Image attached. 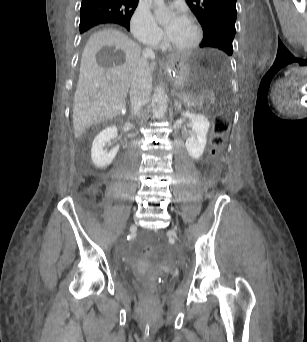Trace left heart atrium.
<instances>
[{
	"mask_svg": "<svg viewBox=\"0 0 307 342\" xmlns=\"http://www.w3.org/2000/svg\"><path fill=\"white\" fill-rule=\"evenodd\" d=\"M186 21L181 16H174L173 19L162 27V35L166 42L174 41L186 26Z\"/></svg>",
	"mask_w": 307,
	"mask_h": 342,
	"instance_id": "1",
	"label": "left heart atrium"
}]
</instances>
